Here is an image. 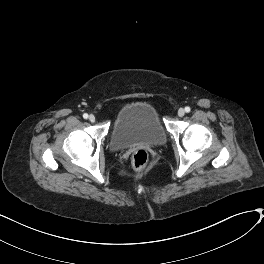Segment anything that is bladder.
I'll use <instances>...</instances> for the list:
<instances>
[{
  "mask_svg": "<svg viewBox=\"0 0 264 264\" xmlns=\"http://www.w3.org/2000/svg\"><path fill=\"white\" fill-rule=\"evenodd\" d=\"M166 132L156 110L148 103L125 105L116 115L109 146L115 151L134 145L157 146L165 143Z\"/></svg>",
  "mask_w": 264,
  "mask_h": 264,
  "instance_id": "bladder-1",
  "label": "bladder"
}]
</instances>
